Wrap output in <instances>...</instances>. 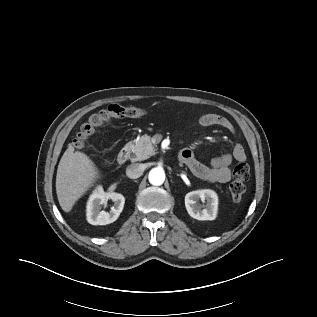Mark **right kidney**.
<instances>
[{"label": "right kidney", "mask_w": 317, "mask_h": 317, "mask_svg": "<svg viewBox=\"0 0 317 317\" xmlns=\"http://www.w3.org/2000/svg\"><path fill=\"white\" fill-rule=\"evenodd\" d=\"M108 199L114 204L110 212L101 211V205ZM125 198L116 192H104L101 186L95 188L87 202V221L92 225H107L117 220L123 210Z\"/></svg>", "instance_id": "right-kidney-1"}]
</instances>
